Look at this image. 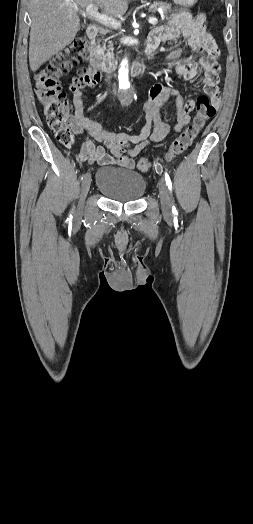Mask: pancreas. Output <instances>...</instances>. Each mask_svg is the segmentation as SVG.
<instances>
[{
    "instance_id": "cf45deb5",
    "label": "pancreas",
    "mask_w": 253,
    "mask_h": 524,
    "mask_svg": "<svg viewBox=\"0 0 253 524\" xmlns=\"http://www.w3.org/2000/svg\"><path fill=\"white\" fill-rule=\"evenodd\" d=\"M162 9L163 11V15L165 16L166 19H169V14L171 13V4L167 3V2H161V1H158V2H154L153 4H151L149 6V11L150 12H155L157 11L158 9ZM173 16V14L171 15V17ZM112 43L109 42V49L107 50V54H105V51H106V45L103 44V46L101 47L99 44L98 45H95V50L98 52V54L100 56H113V48H112Z\"/></svg>"
}]
</instances>
